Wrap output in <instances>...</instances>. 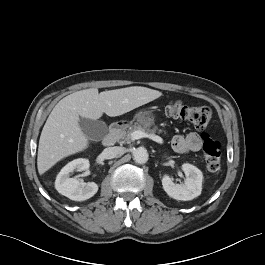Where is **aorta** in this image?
I'll return each instance as SVG.
<instances>
[{"label": "aorta", "mask_w": 265, "mask_h": 265, "mask_svg": "<svg viewBox=\"0 0 265 265\" xmlns=\"http://www.w3.org/2000/svg\"><path fill=\"white\" fill-rule=\"evenodd\" d=\"M148 158V152L144 148H137L133 152V159L138 164H145L148 161Z\"/></svg>", "instance_id": "aorta-1"}]
</instances>
